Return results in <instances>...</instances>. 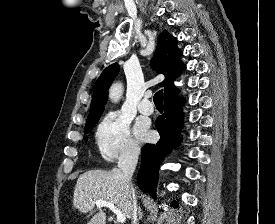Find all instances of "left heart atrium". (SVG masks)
Returning a JSON list of instances; mask_svg holds the SVG:
<instances>
[{
	"label": "left heart atrium",
	"instance_id": "1",
	"mask_svg": "<svg viewBox=\"0 0 275 224\" xmlns=\"http://www.w3.org/2000/svg\"><path fill=\"white\" fill-rule=\"evenodd\" d=\"M135 134L139 140H146L149 137L147 126L141 122L135 126Z\"/></svg>",
	"mask_w": 275,
	"mask_h": 224
}]
</instances>
